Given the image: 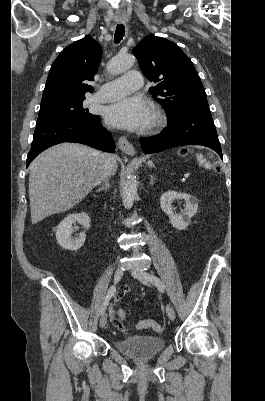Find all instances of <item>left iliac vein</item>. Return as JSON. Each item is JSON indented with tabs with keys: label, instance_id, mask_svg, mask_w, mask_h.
<instances>
[{
	"label": "left iliac vein",
	"instance_id": "4c4485c4",
	"mask_svg": "<svg viewBox=\"0 0 265 401\" xmlns=\"http://www.w3.org/2000/svg\"><path fill=\"white\" fill-rule=\"evenodd\" d=\"M131 274H132V276H133L135 279L139 280V281H140L141 283H143V284L151 283V277H152V275L149 274V273L146 272V271H142V270H138V269H133V270L131 271ZM167 316L169 317V319H170L171 321H174V320H175V311H174V309H173L171 306H168V307H167Z\"/></svg>",
	"mask_w": 265,
	"mask_h": 401
}]
</instances>
